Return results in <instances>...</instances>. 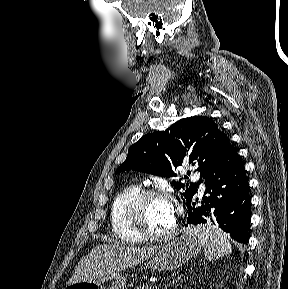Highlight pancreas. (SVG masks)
Segmentation results:
<instances>
[{
  "label": "pancreas",
  "mask_w": 288,
  "mask_h": 289,
  "mask_svg": "<svg viewBox=\"0 0 288 289\" xmlns=\"http://www.w3.org/2000/svg\"><path fill=\"white\" fill-rule=\"evenodd\" d=\"M136 289H151L149 285H143L142 287H137Z\"/></svg>",
  "instance_id": "pancreas-1"
}]
</instances>
